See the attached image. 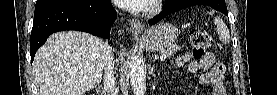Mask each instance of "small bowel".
Listing matches in <instances>:
<instances>
[{"instance_id":"obj_1","label":"small bowel","mask_w":277,"mask_h":95,"mask_svg":"<svg viewBox=\"0 0 277 95\" xmlns=\"http://www.w3.org/2000/svg\"><path fill=\"white\" fill-rule=\"evenodd\" d=\"M177 64L187 66L191 72L199 70L200 83L213 85V95H226L222 81L223 67L216 63L212 52H205L199 59H194L190 53H185L177 59Z\"/></svg>"}]
</instances>
